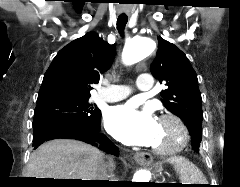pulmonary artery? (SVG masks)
I'll use <instances>...</instances> for the list:
<instances>
[{
    "instance_id": "1",
    "label": "pulmonary artery",
    "mask_w": 240,
    "mask_h": 187,
    "mask_svg": "<svg viewBox=\"0 0 240 187\" xmlns=\"http://www.w3.org/2000/svg\"><path fill=\"white\" fill-rule=\"evenodd\" d=\"M137 87L141 91H150L153 88V79L149 74H140L137 78ZM132 91L128 85H111L106 91L96 96L103 102H117L131 95Z\"/></svg>"
}]
</instances>
